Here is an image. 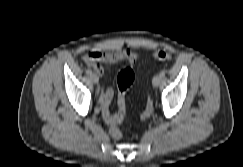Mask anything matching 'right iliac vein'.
<instances>
[{
	"label": "right iliac vein",
	"instance_id": "right-iliac-vein-1",
	"mask_svg": "<svg viewBox=\"0 0 243 167\" xmlns=\"http://www.w3.org/2000/svg\"><path fill=\"white\" fill-rule=\"evenodd\" d=\"M90 77L94 84H97L99 82V77L96 74H91Z\"/></svg>",
	"mask_w": 243,
	"mask_h": 167
}]
</instances>
